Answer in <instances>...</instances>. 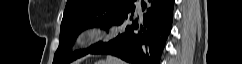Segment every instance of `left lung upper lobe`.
<instances>
[{
    "mask_svg": "<svg viewBox=\"0 0 242 64\" xmlns=\"http://www.w3.org/2000/svg\"><path fill=\"white\" fill-rule=\"evenodd\" d=\"M134 0H68L61 22L59 47L53 64H68L98 44L66 56L78 34L89 27L113 26Z\"/></svg>",
    "mask_w": 242,
    "mask_h": 64,
    "instance_id": "1",
    "label": "left lung upper lobe"
}]
</instances>
